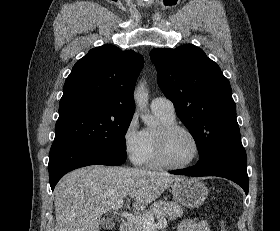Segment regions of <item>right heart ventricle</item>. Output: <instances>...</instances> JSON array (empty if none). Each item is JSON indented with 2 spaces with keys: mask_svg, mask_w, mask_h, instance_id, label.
Segmentation results:
<instances>
[{
  "mask_svg": "<svg viewBox=\"0 0 280 231\" xmlns=\"http://www.w3.org/2000/svg\"><path fill=\"white\" fill-rule=\"evenodd\" d=\"M157 115L160 118L162 124L175 123L176 121L175 117H168L161 114H157ZM145 135L147 141V151H146L144 162L152 167L161 166V164L158 162L156 157V145H155L156 132H153L151 130H146Z\"/></svg>",
  "mask_w": 280,
  "mask_h": 231,
  "instance_id": "right-heart-ventricle-1",
  "label": "right heart ventricle"
}]
</instances>
